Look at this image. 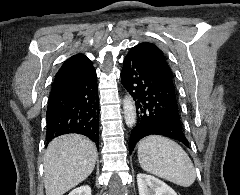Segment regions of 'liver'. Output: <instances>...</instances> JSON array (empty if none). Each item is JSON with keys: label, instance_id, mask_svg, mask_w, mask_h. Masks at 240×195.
<instances>
[{"label": "liver", "instance_id": "liver-1", "mask_svg": "<svg viewBox=\"0 0 240 195\" xmlns=\"http://www.w3.org/2000/svg\"><path fill=\"white\" fill-rule=\"evenodd\" d=\"M97 147L79 133L59 135L50 141L44 153L46 195H63L92 173Z\"/></svg>", "mask_w": 240, "mask_h": 195}]
</instances>
